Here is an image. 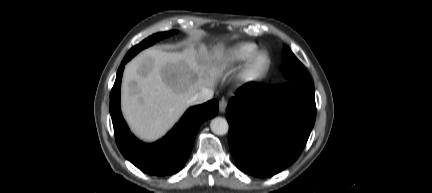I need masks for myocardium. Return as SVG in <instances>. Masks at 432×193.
<instances>
[{
    "label": "myocardium",
    "mask_w": 432,
    "mask_h": 193,
    "mask_svg": "<svg viewBox=\"0 0 432 193\" xmlns=\"http://www.w3.org/2000/svg\"><path fill=\"white\" fill-rule=\"evenodd\" d=\"M271 65L270 54L266 50H257L246 62L239 74L243 83H256L262 81L267 75Z\"/></svg>",
    "instance_id": "myocardium-1"
}]
</instances>
